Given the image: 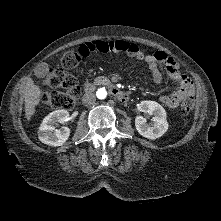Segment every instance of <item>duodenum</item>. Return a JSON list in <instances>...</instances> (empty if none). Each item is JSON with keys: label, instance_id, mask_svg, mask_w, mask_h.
<instances>
[{"label": "duodenum", "instance_id": "obj_1", "mask_svg": "<svg viewBox=\"0 0 221 221\" xmlns=\"http://www.w3.org/2000/svg\"><path fill=\"white\" fill-rule=\"evenodd\" d=\"M104 85L109 89L111 94L119 101H121V102H128L129 101L130 96L127 92L120 90L115 85H113L109 82H105ZM93 89H94V86L92 84H87L85 86V93H90L93 91Z\"/></svg>", "mask_w": 221, "mask_h": 221}]
</instances>
